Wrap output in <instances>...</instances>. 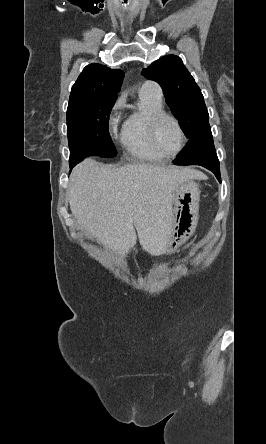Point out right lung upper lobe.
<instances>
[{
	"label": "right lung upper lobe",
	"instance_id": "right-lung-upper-lobe-1",
	"mask_svg": "<svg viewBox=\"0 0 266 444\" xmlns=\"http://www.w3.org/2000/svg\"><path fill=\"white\" fill-rule=\"evenodd\" d=\"M124 73L101 64L86 66L72 86L69 105L103 97H117Z\"/></svg>",
	"mask_w": 266,
	"mask_h": 444
}]
</instances>
